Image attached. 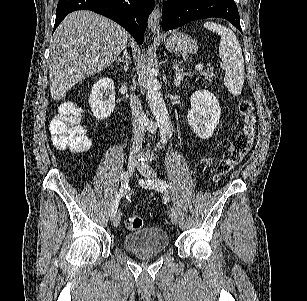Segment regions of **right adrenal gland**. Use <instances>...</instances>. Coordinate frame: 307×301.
I'll return each instance as SVG.
<instances>
[{
  "instance_id": "2a0ac1e0",
  "label": "right adrenal gland",
  "mask_w": 307,
  "mask_h": 301,
  "mask_svg": "<svg viewBox=\"0 0 307 301\" xmlns=\"http://www.w3.org/2000/svg\"><path fill=\"white\" fill-rule=\"evenodd\" d=\"M116 62H123V70L127 72L130 64H131V56L128 52V48H124L122 56L120 58H115Z\"/></svg>"
}]
</instances>
